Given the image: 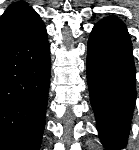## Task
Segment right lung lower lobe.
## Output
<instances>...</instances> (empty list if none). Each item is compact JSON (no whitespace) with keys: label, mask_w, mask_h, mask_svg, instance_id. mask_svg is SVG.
<instances>
[{"label":"right lung lower lobe","mask_w":139,"mask_h":150,"mask_svg":"<svg viewBox=\"0 0 139 150\" xmlns=\"http://www.w3.org/2000/svg\"><path fill=\"white\" fill-rule=\"evenodd\" d=\"M50 69L46 28L33 9L0 27V150H39Z\"/></svg>","instance_id":"98d812e1"}]
</instances>
